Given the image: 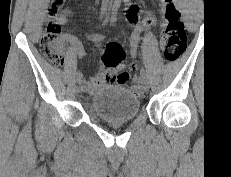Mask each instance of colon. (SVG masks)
Segmentation results:
<instances>
[{
  "label": "colon",
  "instance_id": "5ec220e1",
  "mask_svg": "<svg viewBox=\"0 0 231 177\" xmlns=\"http://www.w3.org/2000/svg\"><path fill=\"white\" fill-rule=\"evenodd\" d=\"M52 1L51 15L56 12V3ZM165 4V29L162 33V39L165 42L164 57L167 62L177 60L186 50V32L181 20L180 12L177 10L172 0H164ZM40 49L44 58L52 64L63 65L65 54L63 50V40L61 36V27L55 22H49L42 34ZM125 58V52L117 43H110L103 54V62L108 66L120 64ZM128 88L139 92L140 88L136 85H128Z\"/></svg>",
  "mask_w": 231,
  "mask_h": 177
}]
</instances>
